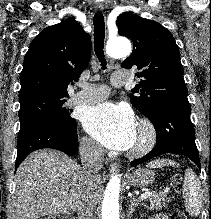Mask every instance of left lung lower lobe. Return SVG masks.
Masks as SVG:
<instances>
[{"label":"left lung lower lobe","mask_w":211,"mask_h":219,"mask_svg":"<svg viewBox=\"0 0 211 219\" xmlns=\"http://www.w3.org/2000/svg\"><path fill=\"white\" fill-rule=\"evenodd\" d=\"M149 119L154 124L157 143L147 155L134 160L133 167L159 155L173 153L187 156L200 168L189 103L174 101L163 104Z\"/></svg>","instance_id":"left-lung-lower-lobe-1"}]
</instances>
